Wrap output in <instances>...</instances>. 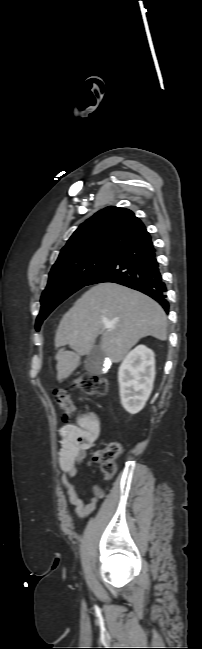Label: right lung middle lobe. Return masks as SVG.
Listing matches in <instances>:
<instances>
[{"label":"right lung middle lobe","instance_id":"right-lung-middle-lobe-1","mask_svg":"<svg viewBox=\"0 0 202 649\" xmlns=\"http://www.w3.org/2000/svg\"><path fill=\"white\" fill-rule=\"evenodd\" d=\"M115 254L89 251L57 261L49 273L47 287L41 296V310L36 320V330H39L43 320L56 306L85 286L96 271Z\"/></svg>","mask_w":202,"mask_h":649}]
</instances>
